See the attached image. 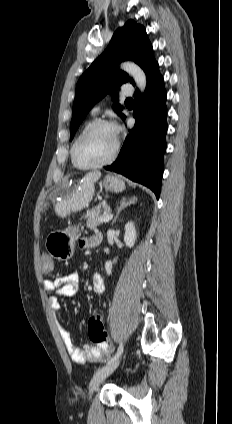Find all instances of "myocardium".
<instances>
[{
	"instance_id": "1",
	"label": "myocardium",
	"mask_w": 232,
	"mask_h": 424,
	"mask_svg": "<svg viewBox=\"0 0 232 424\" xmlns=\"http://www.w3.org/2000/svg\"><path fill=\"white\" fill-rule=\"evenodd\" d=\"M100 127H109L115 130L116 132V139H115V146L114 149L112 151V153L105 158L104 160L97 162V163H93V164H83L79 161L78 159V147L81 144V142L94 130H96L97 128ZM120 146H121V142H120V138L116 129V126L108 120H104V119H98L93 121L81 134L80 136L77 138V140L75 141L73 147H72V160L74 162V165L79 168V169H83V170H88V169H95V168H99L102 166H105L111 162H113L116 157L119 154L120 151Z\"/></svg>"
}]
</instances>
